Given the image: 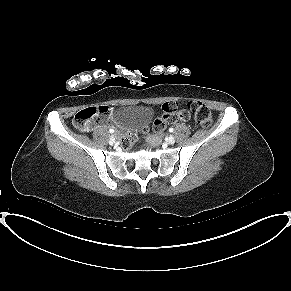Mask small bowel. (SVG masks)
Returning <instances> with one entry per match:
<instances>
[{"instance_id":"small-bowel-1","label":"small bowel","mask_w":291,"mask_h":291,"mask_svg":"<svg viewBox=\"0 0 291 291\" xmlns=\"http://www.w3.org/2000/svg\"><path fill=\"white\" fill-rule=\"evenodd\" d=\"M189 113L186 111H178L174 121L186 122L189 119Z\"/></svg>"}]
</instances>
